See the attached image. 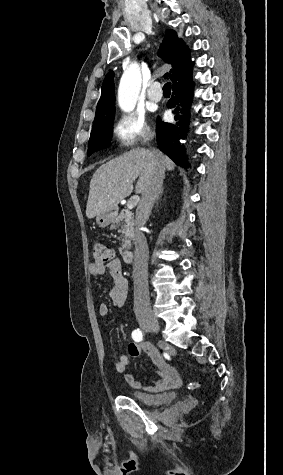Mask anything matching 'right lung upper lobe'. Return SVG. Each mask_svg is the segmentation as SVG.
I'll return each mask as SVG.
<instances>
[{
	"instance_id": "1",
	"label": "right lung upper lobe",
	"mask_w": 283,
	"mask_h": 475,
	"mask_svg": "<svg viewBox=\"0 0 283 475\" xmlns=\"http://www.w3.org/2000/svg\"><path fill=\"white\" fill-rule=\"evenodd\" d=\"M158 54L167 63L172 64L173 69L170 70V73L165 74V77H169L172 82L192 71L193 62L190 59V50L183 40L177 37V33L174 30H167ZM114 104V77L113 72L110 71L103 81L101 97L97 107L112 106Z\"/></svg>"
}]
</instances>
